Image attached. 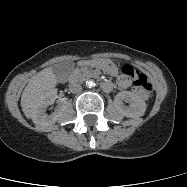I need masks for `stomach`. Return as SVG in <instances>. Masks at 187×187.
<instances>
[{
    "mask_svg": "<svg viewBox=\"0 0 187 187\" xmlns=\"http://www.w3.org/2000/svg\"><path fill=\"white\" fill-rule=\"evenodd\" d=\"M91 66L99 68L110 75H117L118 68L115 63L108 58H95L88 62Z\"/></svg>",
    "mask_w": 187,
    "mask_h": 187,
    "instance_id": "stomach-1",
    "label": "stomach"
}]
</instances>
